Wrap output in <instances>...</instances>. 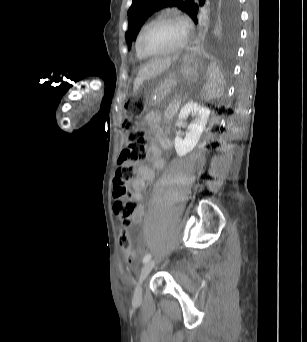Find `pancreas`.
<instances>
[{"label": "pancreas", "instance_id": "pancreas-1", "mask_svg": "<svg viewBox=\"0 0 307 342\" xmlns=\"http://www.w3.org/2000/svg\"><path fill=\"white\" fill-rule=\"evenodd\" d=\"M173 106H165L164 107V116L165 117H174L175 116V108L179 105V99L174 97L172 99Z\"/></svg>", "mask_w": 307, "mask_h": 342}]
</instances>
